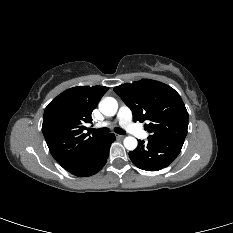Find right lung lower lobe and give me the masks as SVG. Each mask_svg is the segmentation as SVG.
Instances as JSON below:
<instances>
[{
	"label": "right lung lower lobe",
	"mask_w": 233,
	"mask_h": 233,
	"mask_svg": "<svg viewBox=\"0 0 233 233\" xmlns=\"http://www.w3.org/2000/svg\"><path fill=\"white\" fill-rule=\"evenodd\" d=\"M114 141L115 135L113 133L103 135L76 162L65 169L78 177L96 174L104 167L111 143Z\"/></svg>",
	"instance_id": "98d812e1"
}]
</instances>
